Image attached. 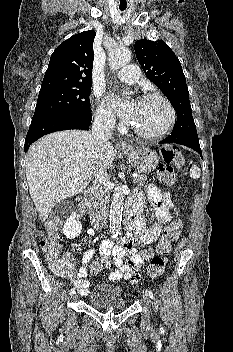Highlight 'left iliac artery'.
I'll list each match as a JSON object with an SVG mask.
<instances>
[{"mask_svg": "<svg viewBox=\"0 0 233 352\" xmlns=\"http://www.w3.org/2000/svg\"><path fill=\"white\" fill-rule=\"evenodd\" d=\"M145 292H146V294H148V296H149L151 299L154 298V295H153L152 291H150V290L147 289Z\"/></svg>", "mask_w": 233, "mask_h": 352, "instance_id": "left-iliac-artery-1", "label": "left iliac artery"}]
</instances>
